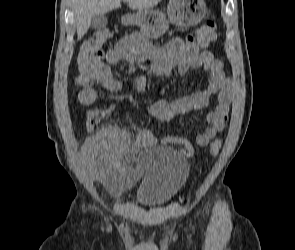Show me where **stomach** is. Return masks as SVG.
<instances>
[{
	"label": "stomach",
	"instance_id": "stomach-1",
	"mask_svg": "<svg viewBox=\"0 0 295 250\" xmlns=\"http://www.w3.org/2000/svg\"><path fill=\"white\" fill-rule=\"evenodd\" d=\"M204 0H169L166 14L152 8L137 10L123 17L124 25H137L149 38H158L168 29L169 23L187 27L198 24L206 15Z\"/></svg>",
	"mask_w": 295,
	"mask_h": 250
}]
</instances>
